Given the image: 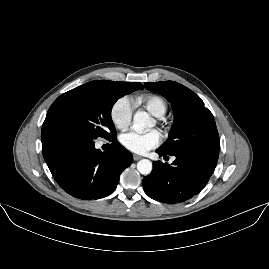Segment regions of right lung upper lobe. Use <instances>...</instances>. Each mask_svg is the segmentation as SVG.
<instances>
[{
    "instance_id": "cb5924a9",
    "label": "right lung upper lobe",
    "mask_w": 269,
    "mask_h": 269,
    "mask_svg": "<svg viewBox=\"0 0 269 269\" xmlns=\"http://www.w3.org/2000/svg\"><path fill=\"white\" fill-rule=\"evenodd\" d=\"M87 84L122 93H131L137 89L143 88L142 84L138 82H115L107 80H95L88 82Z\"/></svg>"
}]
</instances>
